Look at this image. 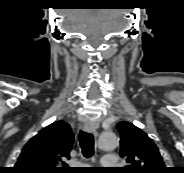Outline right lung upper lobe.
Instances as JSON below:
<instances>
[{
	"mask_svg": "<svg viewBox=\"0 0 184 173\" xmlns=\"http://www.w3.org/2000/svg\"><path fill=\"white\" fill-rule=\"evenodd\" d=\"M74 135L70 125L55 121L43 128L23 148L14 173H70L65 158H70Z\"/></svg>",
	"mask_w": 184,
	"mask_h": 173,
	"instance_id": "right-lung-upper-lobe-1",
	"label": "right lung upper lobe"
}]
</instances>
